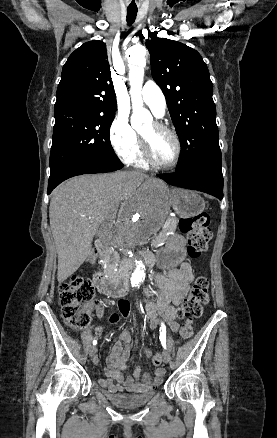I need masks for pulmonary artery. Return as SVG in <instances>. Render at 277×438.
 <instances>
[{
  "label": "pulmonary artery",
  "mask_w": 277,
  "mask_h": 438,
  "mask_svg": "<svg viewBox=\"0 0 277 438\" xmlns=\"http://www.w3.org/2000/svg\"><path fill=\"white\" fill-rule=\"evenodd\" d=\"M143 93L145 96L139 97V101L146 104L157 118L164 117L167 108L164 87H155L153 81H146Z\"/></svg>",
  "instance_id": "pulmonary-artery-1"
}]
</instances>
